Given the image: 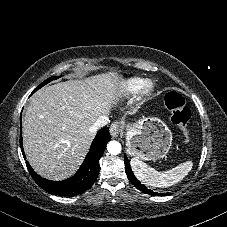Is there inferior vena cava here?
Returning a JSON list of instances; mask_svg holds the SVG:
<instances>
[{
  "label": "inferior vena cava",
  "instance_id": "602c4592",
  "mask_svg": "<svg viewBox=\"0 0 227 227\" xmlns=\"http://www.w3.org/2000/svg\"><path fill=\"white\" fill-rule=\"evenodd\" d=\"M109 122V118L106 115H101L93 124V130H98L102 127H104L105 125H107Z\"/></svg>",
  "mask_w": 227,
  "mask_h": 227
}]
</instances>
